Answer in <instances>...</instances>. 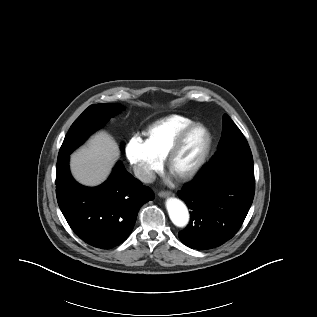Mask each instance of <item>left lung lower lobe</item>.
Listing matches in <instances>:
<instances>
[{
  "mask_svg": "<svg viewBox=\"0 0 317 317\" xmlns=\"http://www.w3.org/2000/svg\"><path fill=\"white\" fill-rule=\"evenodd\" d=\"M255 178L253 162L228 158L210 161L178 196L192 210L180 240L192 249L220 246L240 229L253 202Z\"/></svg>",
  "mask_w": 317,
  "mask_h": 317,
  "instance_id": "left-lung-lower-lobe-1",
  "label": "left lung lower lobe"
}]
</instances>
